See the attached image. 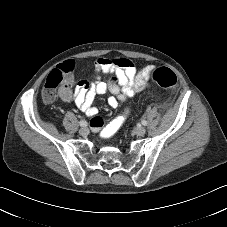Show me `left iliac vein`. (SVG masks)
<instances>
[{
	"instance_id": "4c4485c4",
	"label": "left iliac vein",
	"mask_w": 227,
	"mask_h": 227,
	"mask_svg": "<svg viewBox=\"0 0 227 227\" xmlns=\"http://www.w3.org/2000/svg\"><path fill=\"white\" fill-rule=\"evenodd\" d=\"M134 131L138 136H143L146 134V129L141 126L136 127Z\"/></svg>"
}]
</instances>
